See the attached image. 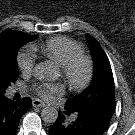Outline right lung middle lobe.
Masks as SVG:
<instances>
[{"label":"right lung middle lobe","instance_id":"obj_1","mask_svg":"<svg viewBox=\"0 0 135 135\" xmlns=\"http://www.w3.org/2000/svg\"><path fill=\"white\" fill-rule=\"evenodd\" d=\"M37 37L19 31H9L0 38V95H3L11 82L17 80L19 76L18 49Z\"/></svg>","mask_w":135,"mask_h":135}]
</instances>
